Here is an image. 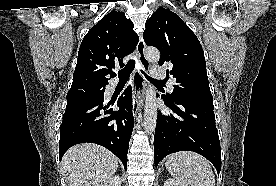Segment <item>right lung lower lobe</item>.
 Here are the masks:
<instances>
[{"label": "right lung lower lobe", "instance_id": "1", "mask_svg": "<svg viewBox=\"0 0 276 186\" xmlns=\"http://www.w3.org/2000/svg\"><path fill=\"white\" fill-rule=\"evenodd\" d=\"M124 94L106 105L101 101L66 107L60 126V160L71 146L90 142L110 150L127 168L129 140L134 126L131 87ZM113 105H117L119 111H113Z\"/></svg>", "mask_w": 276, "mask_h": 186}]
</instances>
